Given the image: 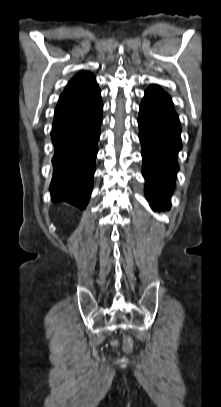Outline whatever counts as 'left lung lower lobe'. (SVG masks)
Masks as SVG:
<instances>
[{"instance_id": "1", "label": "left lung lower lobe", "mask_w": 221, "mask_h": 407, "mask_svg": "<svg viewBox=\"0 0 221 407\" xmlns=\"http://www.w3.org/2000/svg\"><path fill=\"white\" fill-rule=\"evenodd\" d=\"M138 125L146 197L154 210L169 208L179 170L181 127L170 96L159 86H150L145 91Z\"/></svg>"}]
</instances>
